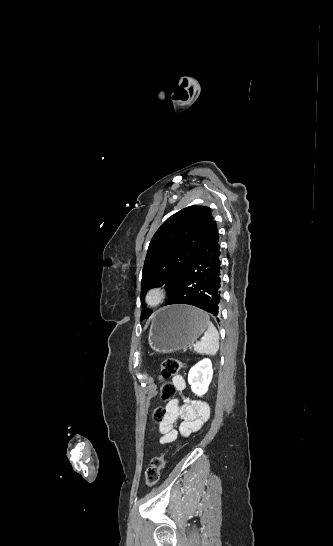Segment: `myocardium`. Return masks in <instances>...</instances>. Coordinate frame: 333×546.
<instances>
[{
    "instance_id": "f54148a6",
    "label": "myocardium",
    "mask_w": 333,
    "mask_h": 546,
    "mask_svg": "<svg viewBox=\"0 0 333 546\" xmlns=\"http://www.w3.org/2000/svg\"><path fill=\"white\" fill-rule=\"evenodd\" d=\"M166 296L167 292L164 287L154 285L148 289L145 300L150 306H158L165 300Z\"/></svg>"
}]
</instances>
